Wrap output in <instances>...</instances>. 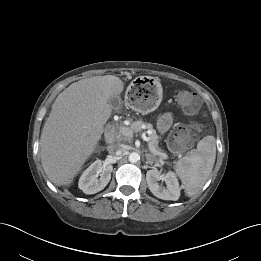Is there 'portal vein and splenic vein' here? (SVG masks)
Wrapping results in <instances>:
<instances>
[{"mask_svg": "<svg viewBox=\"0 0 261 261\" xmlns=\"http://www.w3.org/2000/svg\"><path fill=\"white\" fill-rule=\"evenodd\" d=\"M120 132L123 136H126V137H131L133 135V133L127 127H121ZM144 140L149 143L150 139H149V137H145ZM149 150H154L153 147H151L150 143H149Z\"/></svg>", "mask_w": 261, "mask_h": 261, "instance_id": "1", "label": "portal vein and splenic vein"}]
</instances>
